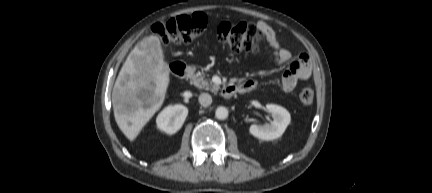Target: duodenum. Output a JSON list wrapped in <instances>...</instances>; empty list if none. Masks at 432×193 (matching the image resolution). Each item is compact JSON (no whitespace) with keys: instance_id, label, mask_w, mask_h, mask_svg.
Segmentation results:
<instances>
[{"instance_id":"duodenum-1","label":"duodenum","mask_w":432,"mask_h":193,"mask_svg":"<svg viewBox=\"0 0 432 193\" xmlns=\"http://www.w3.org/2000/svg\"><path fill=\"white\" fill-rule=\"evenodd\" d=\"M170 68L173 74L180 79H188L192 75L191 68L183 62H173ZM237 92H241L239 86L228 85L222 88L221 95L224 98H231Z\"/></svg>"}]
</instances>
